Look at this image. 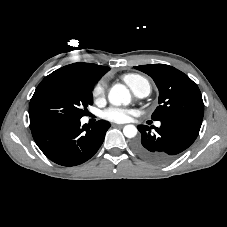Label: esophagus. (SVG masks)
Instances as JSON below:
<instances>
[{
    "mask_svg": "<svg viewBox=\"0 0 227 227\" xmlns=\"http://www.w3.org/2000/svg\"><path fill=\"white\" fill-rule=\"evenodd\" d=\"M113 126L114 127H123L124 125L123 124H114Z\"/></svg>",
    "mask_w": 227,
    "mask_h": 227,
    "instance_id": "obj_1",
    "label": "esophagus"
}]
</instances>
